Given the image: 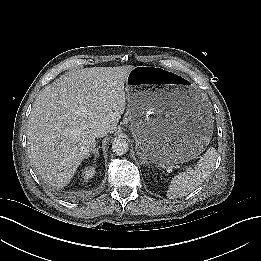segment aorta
Wrapping results in <instances>:
<instances>
[{
  "instance_id": "762f6f07",
  "label": "aorta",
  "mask_w": 261,
  "mask_h": 261,
  "mask_svg": "<svg viewBox=\"0 0 261 261\" xmlns=\"http://www.w3.org/2000/svg\"><path fill=\"white\" fill-rule=\"evenodd\" d=\"M128 142L125 139H115L112 143V151L116 154V155H124L128 152Z\"/></svg>"
}]
</instances>
